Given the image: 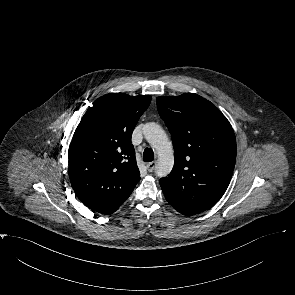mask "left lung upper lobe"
Instances as JSON below:
<instances>
[{
    "label": "left lung upper lobe",
    "instance_id": "1",
    "mask_svg": "<svg viewBox=\"0 0 295 295\" xmlns=\"http://www.w3.org/2000/svg\"><path fill=\"white\" fill-rule=\"evenodd\" d=\"M174 146L175 163L160 179L165 196L180 213L195 215L225 193L235 166L234 131L213 103L194 93L156 99Z\"/></svg>",
    "mask_w": 295,
    "mask_h": 295
}]
</instances>
